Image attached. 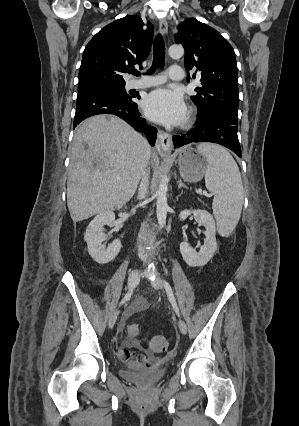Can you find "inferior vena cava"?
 Returning a JSON list of instances; mask_svg holds the SVG:
<instances>
[{
  "mask_svg": "<svg viewBox=\"0 0 299 426\" xmlns=\"http://www.w3.org/2000/svg\"><path fill=\"white\" fill-rule=\"evenodd\" d=\"M148 185H149V169H146L143 173L142 180L139 187V192L137 196L139 200L145 199L148 192ZM143 238H144V229H142L139 234L138 256L141 260H145V252L142 246Z\"/></svg>",
  "mask_w": 299,
  "mask_h": 426,
  "instance_id": "inferior-vena-cava-1",
  "label": "inferior vena cava"
}]
</instances>
